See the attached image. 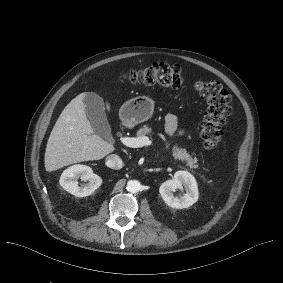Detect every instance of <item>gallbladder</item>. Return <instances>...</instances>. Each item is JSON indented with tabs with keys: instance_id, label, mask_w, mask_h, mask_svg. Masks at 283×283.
I'll list each match as a JSON object with an SVG mask.
<instances>
[{
	"instance_id": "obj_1",
	"label": "gallbladder",
	"mask_w": 283,
	"mask_h": 283,
	"mask_svg": "<svg viewBox=\"0 0 283 283\" xmlns=\"http://www.w3.org/2000/svg\"><path fill=\"white\" fill-rule=\"evenodd\" d=\"M83 103L85 113L91 122L95 133L104 139L111 141V128L108 123L103 99L94 92H87Z\"/></svg>"
}]
</instances>
